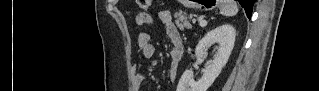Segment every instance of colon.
Instances as JSON below:
<instances>
[{"label":"colon","instance_id":"1","mask_svg":"<svg viewBox=\"0 0 319 91\" xmlns=\"http://www.w3.org/2000/svg\"><path fill=\"white\" fill-rule=\"evenodd\" d=\"M152 1L150 0H139V6L143 10H147L150 8Z\"/></svg>","mask_w":319,"mask_h":91}]
</instances>
